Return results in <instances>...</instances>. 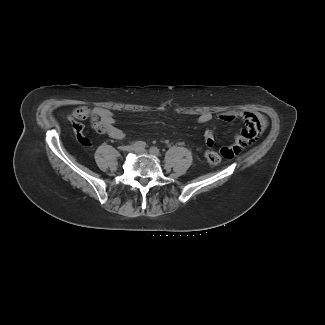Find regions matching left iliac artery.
Instances as JSON below:
<instances>
[{
    "label": "left iliac artery",
    "instance_id": "left-iliac-artery-1",
    "mask_svg": "<svg viewBox=\"0 0 325 325\" xmlns=\"http://www.w3.org/2000/svg\"><path fill=\"white\" fill-rule=\"evenodd\" d=\"M150 152H151V153L159 154V149H158L157 147H151V148H150Z\"/></svg>",
    "mask_w": 325,
    "mask_h": 325
}]
</instances>
